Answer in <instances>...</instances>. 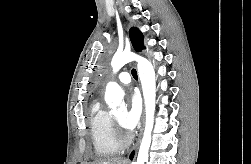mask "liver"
Masks as SVG:
<instances>
[{
    "label": "liver",
    "mask_w": 251,
    "mask_h": 164,
    "mask_svg": "<svg viewBox=\"0 0 251 164\" xmlns=\"http://www.w3.org/2000/svg\"><path fill=\"white\" fill-rule=\"evenodd\" d=\"M89 164H127V161L123 158H107L99 159L98 161Z\"/></svg>",
    "instance_id": "1"
}]
</instances>
